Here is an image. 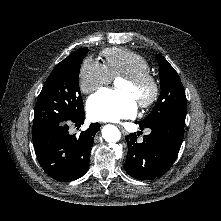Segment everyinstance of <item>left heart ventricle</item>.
Returning <instances> with one entry per match:
<instances>
[{"label":"left heart ventricle","mask_w":221,"mask_h":221,"mask_svg":"<svg viewBox=\"0 0 221 221\" xmlns=\"http://www.w3.org/2000/svg\"><path fill=\"white\" fill-rule=\"evenodd\" d=\"M116 87L118 90L126 91V92H129L130 94H132V96L135 98L137 103L139 102L140 99L145 97L148 93L147 87L138 88L123 79H119L116 81Z\"/></svg>","instance_id":"b2bd125f"}]
</instances>
